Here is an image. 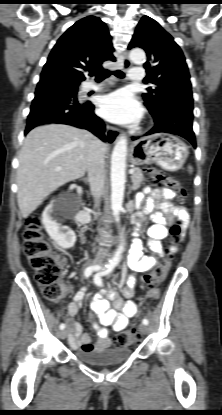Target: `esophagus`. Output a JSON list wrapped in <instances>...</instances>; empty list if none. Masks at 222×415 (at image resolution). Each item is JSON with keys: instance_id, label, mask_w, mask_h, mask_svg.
<instances>
[{"instance_id": "34e87169", "label": "esophagus", "mask_w": 222, "mask_h": 415, "mask_svg": "<svg viewBox=\"0 0 222 415\" xmlns=\"http://www.w3.org/2000/svg\"><path fill=\"white\" fill-rule=\"evenodd\" d=\"M131 66V61L128 59L127 54L124 53L122 57V68L128 69ZM120 136V131L116 128L108 127L106 130L107 141L111 144L115 143Z\"/></svg>"}]
</instances>
